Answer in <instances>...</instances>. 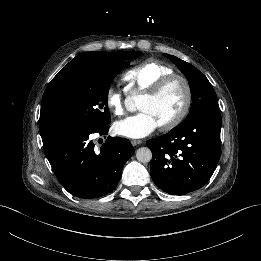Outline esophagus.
Segmentation results:
<instances>
[{
	"mask_svg": "<svg viewBox=\"0 0 261 261\" xmlns=\"http://www.w3.org/2000/svg\"><path fill=\"white\" fill-rule=\"evenodd\" d=\"M141 143H142V140H139V139H132V140H131V144H132L133 146L139 145V144H141Z\"/></svg>",
	"mask_w": 261,
	"mask_h": 261,
	"instance_id": "34e87169",
	"label": "esophagus"
}]
</instances>
